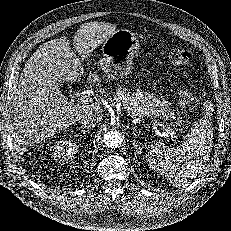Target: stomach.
Returning <instances> with one entry per match:
<instances>
[{"label":"stomach","mask_w":231,"mask_h":231,"mask_svg":"<svg viewBox=\"0 0 231 231\" xmlns=\"http://www.w3.org/2000/svg\"><path fill=\"white\" fill-rule=\"evenodd\" d=\"M139 49V40L132 31L116 30L103 42V58L99 60L98 66L109 78L122 79L130 72Z\"/></svg>","instance_id":"stomach-1"}]
</instances>
